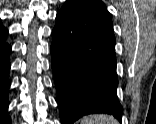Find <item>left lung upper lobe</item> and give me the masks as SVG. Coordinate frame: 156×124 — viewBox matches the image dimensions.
<instances>
[{"label":"left lung upper lobe","instance_id":"obj_1","mask_svg":"<svg viewBox=\"0 0 156 124\" xmlns=\"http://www.w3.org/2000/svg\"><path fill=\"white\" fill-rule=\"evenodd\" d=\"M84 3H86L88 6H90L92 9L100 12L101 14H103L104 16H106L107 18L111 19L108 11L106 10L105 5L103 4V2L99 1V0H82Z\"/></svg>","mask_w":156,"mask_h":124}]
</instances>
